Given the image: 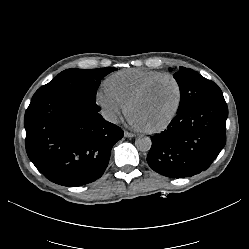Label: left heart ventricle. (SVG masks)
<instances>
[{"label": "left heart ventricle", "instance_id": "obj_1", "mask_svg": "<svg viewBox=\"0 0 249 249\" xmlns=\"http://www.w3.org/2000/svg\"><path fill=\"white\" fill-rule=\"evenodd\" d=\"M178 90L169 78L158 80L148 92L133 104L134 111L146 129L164 122L175 110Z\"/></svg>", "mask_w": 249, "mask_h": 249}]
</instances>
